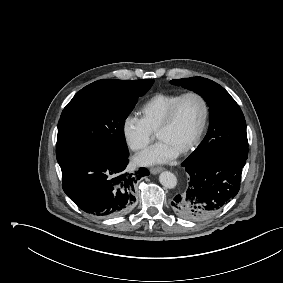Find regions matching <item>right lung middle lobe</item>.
<instances>
[{"label": "right lung middle lobe", "instance_id": "dd1d6c3e", "mask_svg": "<svg viewBox=\"0 0 283 283\" xmlns=\"http://www.w3.org/2000/svg\"><path fill=\"white\" fill-rule=\"evenodd\" d=\"M153 82L152 79H103L77 92L58 122L59 165L95 151L129 154L124 136L125 119Z\"/></svg>", "mask_w": 283, "mask_h": 283}]
</instances>
